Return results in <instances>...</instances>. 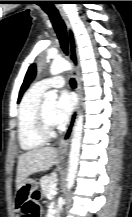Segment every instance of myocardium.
Here are the masks:
<instances>
[{
	"mask_svg": "<svg viewBox=\"0 0 132 217\" xmlns=\"http://www.w3.org/2000/svg\"><path fill=\"white\" fill-rule=\"evenodd\" d=\"M36 125L39 134L45 140L50 139L55 134L53 123L50 122L46 117L44 102H41L39 106L37 117H36Z\"/></svg>",
	"mask_w": 132,
	"mask_h": 217,
	"instance_id": "myocardium-1",
	"label": "myocardium"
}]
</instances>
